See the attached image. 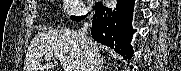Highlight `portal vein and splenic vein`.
I'll use <instances>...</instances> for the list:
<instances>
[{"label":"portal vein and splenic vein","instance_id":"18ae733b","mask_svg":"<svg viewBox=\"0 0 181 71\" xmlns=\"http://www.w3.org/2000/svg\"><path fill=\"white\" fill-rule=\"evenodd\" d=\"M49 57V56H47ZM56 58L59 59V61L61 62V65L63 66L65 71H71L68 66H67V62L65 60V58L62 55H58L56 54ZM48 60V59H47Z\"/></svg>","mask_w":181,"mask_h":71}]
</instances>
